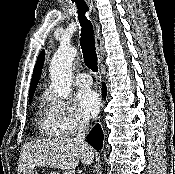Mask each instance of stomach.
Wrapping results in <instances>:
<instances>
[{"mask_svg": "<svg viewBox=\"0 0 175 174\" xmlns=\"http://www.w3.org/2000/svg\"><path fill=\"white\" fill-rule=\"evenodd\" d=\"M52 173L60 174L59 172H52ZM22 174H38V173L32 168V169H27Z\"/></svg>", "mask_w": 175, "mask_h": 174, "instance_id": "0dacf381", "label": "stomach"}]
</instances>
